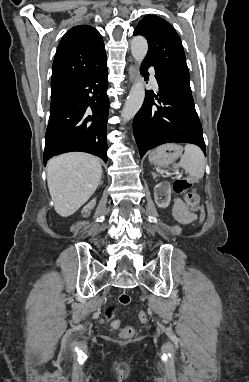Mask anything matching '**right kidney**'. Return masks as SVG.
Here are the masks:
<instances>
[{
	"instance_id": "1",
	"label": "right kidney",
	"mask_w": 249,
	"mask_h": 382,
	"mask_svg": "<svg viewBox=\"0 0 249 382\" xmlns=\"http://www.w3.org/2000/svg\"><path fill=\"white\" fill-rule=\"evenodd\" d=\"M96 200L90 201L82 210L83 217H88L90 215V210L95 206Z\"/></svg>"
}]
</instances>
